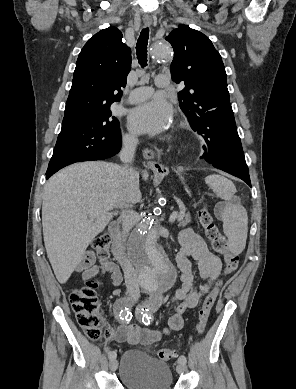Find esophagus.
Here are the masks:
<instances>
[{"instance_id":"esophagus-1","label":"esophagus","mask_w":296,"mask_h":389,"mask_svg":"<svg viewBox=\"0 0 296 389\" xmlns=\"http://www.w3.org/2000/svg\"><path fill=\"white\" fill-rule=\"evenodd\" d=\"M143 22H144L145 26H150L152 24V19L151 18H144ZM148 153H149V155H151V153L149 151H148ZM148 166L153 170L158 169V168H163V169L167 170V167H165L164 165L159 164L157 162H154L153 160L149 161Z\"/></svg>"}]
</instances>
